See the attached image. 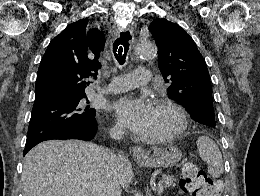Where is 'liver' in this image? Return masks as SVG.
Segmentation results:
<instances>
[{"instance_id": "liver-1", "label": "liver", "mask_w": 260, "mask_h": 196, "mask_svg": "<svg viewBox=\"0 0 260 196\" xmlns=\"http://www.w3.org/2000/svg\"><path fill=\"white\" fill-rule=\"evenodd\" d=\"M108 148L82 140H48L25 156V196H105ZM117 178L122 188L134 180L131 162L119 154Z\"/></svg>"}]
</instances>
